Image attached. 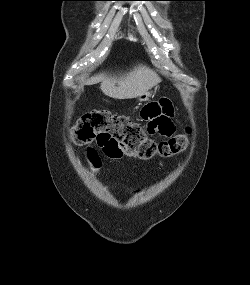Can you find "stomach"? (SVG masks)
I'll return each instance as SVG.
<instances>
[{
    "label": "stomach",
    "instance_id": "stomach-1",
    "mask_svg": "<svg viewBox=\"0 0 250 285\" xmlns=\"http://www.w3.org/2000/svg\"><path fill=\"white\" fill-rule=\"evenodd\" d=\"M150 96H151V93L147 92V93H144V94L140 95L138 97V100L141 101V102H145V101L149 100Z\"/></svg>",
    "mask_w": 250,
    "mask_h": 285
}]
</instances>
